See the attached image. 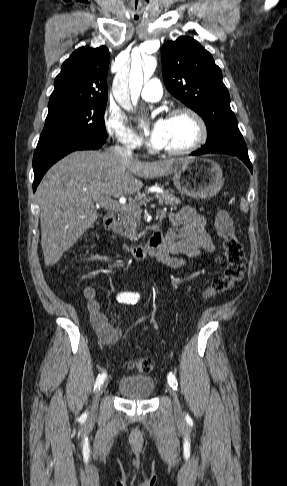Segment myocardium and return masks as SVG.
<instances>
[{
	"label": "myocardium",
	"instance_id": "1",
	"mask_svg": "<svg viewBox=\"0 0 287 486\" xmlns=\"http://www.w3.org/2000/svg\"><path fill=\"white\" fill-rule=\"evenodd\" d=\"M178 116H187L194 121L197 128V136L196 139L190 145H187L185 147L175 148V149L161 148L159 150L163 154L169 156H181V155L192 153L198 150L199 148H201L206 143L208 138V129L206 123L198 112H196L195 110L189 107H180L172 110L168 114L167 119H172Z\"/></svg>",
	"mask_w": 287,
	"mask_h": 486
}]
</instances>
